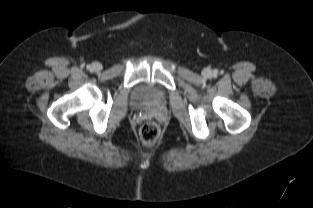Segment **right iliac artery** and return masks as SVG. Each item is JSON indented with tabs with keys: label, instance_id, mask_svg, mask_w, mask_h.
I'll return each instance as SVG.
<instances>
[{
	"label": "right iliac artery",
	"instance_id": "1",
	"mask_svg": "<svg viewBox=\"0 0 313 208\" xmlns=\"http://www.w3.org/2000/svg\"><path fill=\"white\" fill-rule=\"evenodd\" d=\"M87 69L91 70V66H90V65H88V66H87Z\"/></svg>",
	"mask_w": 313,
	"mask_h": 208
}]
</instances>
